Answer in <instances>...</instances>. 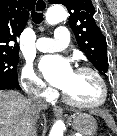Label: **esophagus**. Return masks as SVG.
<instances>
[{"label":"esophagus","instance_id":"obj_1","mask_svg":"<svg viewBox=\"0 0 117 136\" xmlns=\"http://www.w3.org/2000/svg\"><path fill=\"white\" fill-rule=\"evenodd\" d=\"M37 3L39 4L40 10H37ZM46 9H47V2H46V0H37L36 1V10L38 12H45ZM53 113L56 116H62L63 115V111L59 107H53Z\"/></svg>","mask_w":117,"mask_h":136}]
</instances>
